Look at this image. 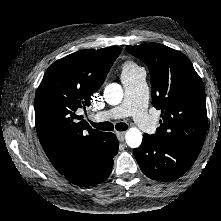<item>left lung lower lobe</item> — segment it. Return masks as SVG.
Instances as JSON below:
<instances>
[{
    "label": "left lung lower lobe",
    "instance_id": "0a47b994",
    "mask_svg": "<svg viewBox=\"0 0 221 221\" xmlns=\"http://www.w3.org/2000/svg\"><path fill=\"white\" fill-rule=\"evenodd\" d=\"M133 154L146 176L166 182L185 174L199 155L177 143L148 134H144L141 146L134 149Z\"/></svg>",
    "mask_w": 221,
    "mask_h": 221
}]
</instances>
